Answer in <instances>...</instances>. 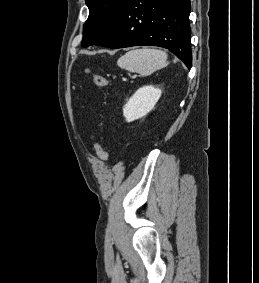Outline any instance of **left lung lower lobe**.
<instances>
[{"label": "left lung lower lobe", "instance_id": "obj_1", "mask_svg": "<svg viewBox=\"0 0 259 283\" xmlns=\"http://www.w3.org/2000/svg\"><path fill=\"white\" fill-rule=\"evenodd\" d=\"M190 10V0H127L112 28L94 45L113 49L159 46L191 68Z\"/></svg>", "mask_w": 259, "mask_h": 283}]
</instances>
